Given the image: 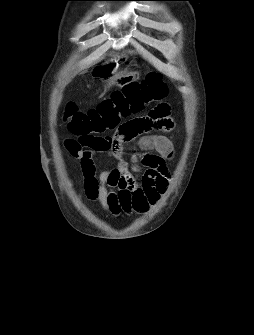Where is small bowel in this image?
Wrapping results in <instances>:
<instances>
[{"mask_svg": "<svg viewBox=\"0 0 254 335\" xmlns=\"http://www.w3.org/2000/svg\"><path fill=\"white\" fill-rule=\"evenodd\" d=\"M169 114L168 104H155L145 117L117 124L109 148V155L117 165L100 172L91 150L78 139L65 140L69 154L80 161L87 198L97 201L105 212L114 216L145 213L158 201L168 186L167 163L175 153L173 142L161 135L171 134L176 128ZM156 130L161 134L154 133ZM134 142L139 152L127 160L123 143ZM137 173H141L140 178Z\"/></svg>", "mask_w": 254, "mask_h": 335, "instance_id": "1", "label": "small bowel"}]
</instances>
